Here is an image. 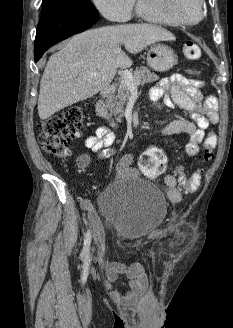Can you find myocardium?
Segmentation results:
<instances>
[{"label":"myocardium","instance_id":"f54148a6","mask_svg":"<svg viewBox=\"0 0 233 328\" xmlns=\"http://www.w3.org/2000/svg\"><path fill=\"white\" fill-rule=\"evenodd\" d=\"M144 9L153 15L154 17L167 21L173 25L178 26H194L199 24L203 18L205 13V1L198 0L200 9H199V17L196 20H184L179 18L172 11L168 0H141Z\"/></svg>","mask_w":233,"mask_h":328}]
</instances>
